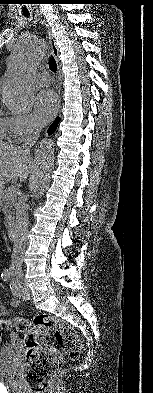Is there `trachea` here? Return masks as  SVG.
Here are the masks:
<instances>
[{
	"mask_svg": "<svg viewBox=\"0 0 153 393\" xmlns=\"http://www.w3.org/2000/svg\"><path fill=\"white\" fill-rule=\"evenodd\" d=\"M49 69L52 72H56L57 71V63L55 61V59L53 57L50 58L49 60Z\"/></svg>",
	"mask_w": 153,
	"mask_h": 393,
	"instance_id": "1",
	"label": "trachea"
}]
</instances>
